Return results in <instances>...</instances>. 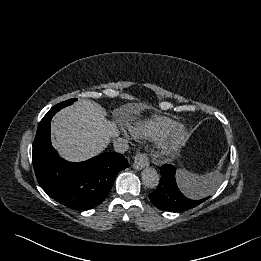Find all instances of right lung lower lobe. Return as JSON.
I'll list each match as a JSON object with an SVG mask.
<instances>
[{
    "label": "right lung lower lobe",
    "mask_w": 261,
    "mask_h": 261,
    "mask_svg": "<svg viewBox=\"0 0 261 261\" xmlns=\"http://www.w3.org/2000/svg\"><path fill=\"white\" fill-rule=\"evenodd\" d=\"M58 109L40 121L33 143V167L42 189L61 204L78 210L99 205L109 194L116 175L128 168L119 153H104L80 163L68 162L51 145V119Z\"/></svg>",
    "instance_id": "right-lung-lower-lobe-1"
}]
</instances>
